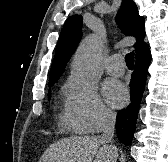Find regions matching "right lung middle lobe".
Masks as SVG:
<instances>
[{
    "label": "right lung middle lobe",
    "instance_id": "1",
    "mask_svg": "<svg viewBox=\"0 0 168 162\" xmlns=\"http://www.w3.org/2000/svg\"><path fill=\"white\" fill-rule=\"evenodd\" d=\"M55 82L49 83V87H51ZM50 95H51V90H49L48 92V99H50Z\"/></svg>",
    "mask_w": 168,
    "mask_h": 162
}]
</instances>
